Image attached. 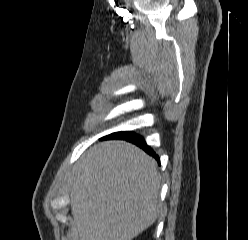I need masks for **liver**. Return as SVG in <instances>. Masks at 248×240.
<instances>
[{
    "label": "liver",
    "mask_w": 248,
    "mask_h": 240,
    "mask_svg": "<svg viewBox=\"0 0 248 240\" xmlns=\"http://www.w3.org/2000/svg\"><path fill=\"white\" fill-rule=\"evenodd\" d=\"M160 177L153 158L125 141L90 148L73 171L70 198L79 240H132L157 219Z\"/></svg>",
    "instance_id": "6515ba94"
}]
</instances>
